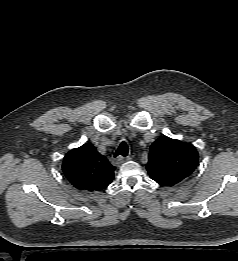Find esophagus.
<instances>
[{"label": "esophagus", "instance_id": "34e87169", "mask_svg": "<svg viewBox=\"0 0 238 261\" xmlns=\"http://www.w3.org/2000/svg\"><path fill=\"white\" fill-rule=\"evenodd\" d=\"M126 159H129V156L124 158L123 156H118L115 160H114V164L115 166H119L120 164H122Z\"/></svg>", "mask_w": 238, "mask_h": 261}]
</instances>
